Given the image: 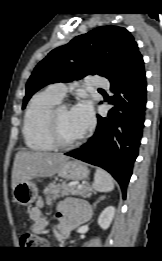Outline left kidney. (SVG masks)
Here are the masks:
<instances>
[{"mask_svg": "<svg viewBox=\"0 0 162 261\" xmlns=\"http://www.w3.org/2000/svg\"><path fill=\"white\" fill-rule=\"evenodd\" d=\"M114 214L115 208L113 206H108L107 208H105L98 218L99 226L104 230L109 228L114 218Z\"/></svg>", "mask_w": 162, "mask_h": 261, "instance_id": "5707ae66", "label": "left kidney"}]
</instances>
